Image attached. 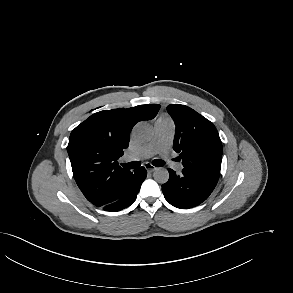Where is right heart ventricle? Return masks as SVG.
I'll use <instances>...</instances> for the list:
<instances>
[{
    "mask_svg": "<svg viewBox=\"0 0 293 293\" xmlns=\"http://www.w3.org/2000/svg\"><path fill=\"white\" fill-rule=\"evenodd\" d=\"M159 120H165V121H170V119L168 117H162Z\"/></svg>",
    "mask_w": 293,
    "mask_h": 293,
    "instance_id": "1",
    "label": "right heart ventricle"
}]
</instances>
